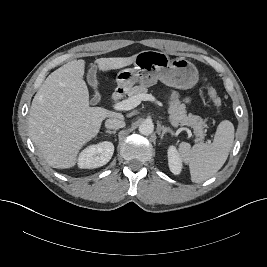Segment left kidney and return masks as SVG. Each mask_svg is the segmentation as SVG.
<instances>
[{"label":"left kidney","instance_id":"obj_1","mask_svg":"<svg viewBox=\"0 0 267 267\" xmlns=\"http://www.w3.org/2000/svg\"><path fill=\"white\" fill-rule=\"evenodd\" d=\"M168 165L170 171L178 175L182 170V159L176 150L175 146H170L168 149Z\"/></svg>","mask_w":267,"mask_h":267}]
</instances>
